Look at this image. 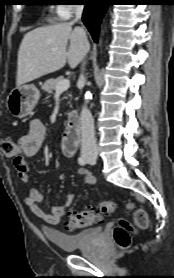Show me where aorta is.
<instances>
[{"mask_svg": "<svg viewBox=\"0 0 174 278\" xmlns=\"http://www.w3.org/2000/svg\"><path fill=\"white\" fill-rule=\"evenodd\" d=\"M90 98H91V94L88 92V93L85 95V100H86V102H88Z\"/></svg>", "mask_w": 174, "mask_h": 278, "instance_id": "1", "label": "aorta"}]
</instances>
